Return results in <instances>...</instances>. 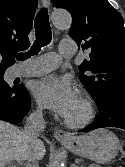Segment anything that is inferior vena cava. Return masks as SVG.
Here are the masks:
<instances>
[{"label":"inferior vena cava","instance_id":"obj_1","mask_svg":"<svg viewBox=\"0 0 125 167\" xmlns=\"http://www.w3.org/2000/svg\"><path fill=\"white\" fill-rule=\"evenodd\" d=\"M45 129V121L43 118L42 110L38 109L32 112L27 120L23 130V135L30 143H35L38 141V137ZM27 167H39L38 159L36 156L32 155L28 159Z\"/></svg>","mask_w":125,"mask_h":167}]
</instances>
